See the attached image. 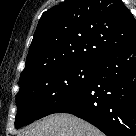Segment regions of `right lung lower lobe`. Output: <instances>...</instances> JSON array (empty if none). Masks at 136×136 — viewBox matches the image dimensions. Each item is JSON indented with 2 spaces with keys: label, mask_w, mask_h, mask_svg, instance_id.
<instances>
[{
  "label": "right lung lower lobe",
  "mask_w": 136,
  "mask_h": 136,
  "mask_svg": "<svg viewBox=\"0 0 136 136\" xmlns=\"http://www.w3.org/2000/svg\"><path fill=\"white\" fill-rule=\"evenodd\" d=\"M53 113H70L107 136L136 133V40L102 58L90 84Z\"/></svg>",
  "instance_id": "98d812e1"
}]
</instances>
